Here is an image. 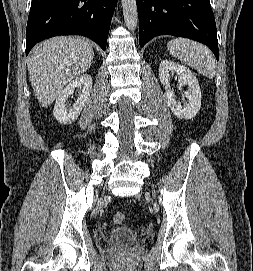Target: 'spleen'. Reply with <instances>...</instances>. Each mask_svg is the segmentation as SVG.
<instances>
[{
	"instance_id": "spleen-1",
	"label": "spleen",
	"mask_w": 253,
	"mask_h": 271,
	"mask_svg": "<svg viewBox=\"0 0 253 271\" xmlns=\"http://www.w3.org/2000/svg\"><path fill=\"white\" fill-rule=\"evenodd\" d=\"M167 49L173 57L202 75L210 79L215 76V59L206 46L189 39L176 38L168 42Z\"/></svg>"
}]
</instances>
